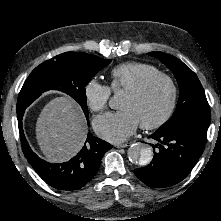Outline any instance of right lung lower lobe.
Masks as SVG:
<instances>
[{
	"instance_id": "obj_1",
	"label": "right lung lower lobe",
	"mask_w": 221,
	"mask_h": 221,
	"mask_svg": "<svg viewBox=\"0 0 221 221\" xmlns=\"http://www.w3.org/2000/svg\"><path fill=\"white\" fill-rule=\"evenodd\" d=\"M24 111L17 114L22 149L38 175L58 190H78L90 182L99 169L104 153L111 149L112 145L89 133L84 147L74 158L64 163L46 162L39 158L27 143L22 129ZM87 119L89 123V118Z\"/></svg>"
}]
</instances>
